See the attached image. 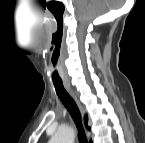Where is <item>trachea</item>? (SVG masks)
Instances as JSON below:
<instances>
[{"instance_id": "1", "label": "trachea", "mask_w": 145, "mask_h": 143, "mask_svg": "<svg viewBox=\"0 0 145 143\" xmlns=\"http://www.w3.org/2000/svg\"><path fill=\"white\" fill-rule=\"evenodd\" d=\"M54 86L56 89V93L64 106L69 111L71 117L73 118L76 127L78 129L79 133V142L80 143H88L85 131L80 119V112L79 109L75 103V101L71 98V96L68 94V92L65 90L62 82H54Z\"/></svg>"}]
</instances>
